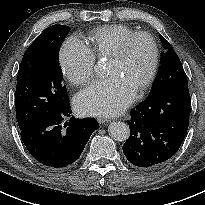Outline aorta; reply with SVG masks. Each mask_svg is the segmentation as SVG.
I'll use <instances>...</instances> for the list:
<instances>
[{"label":"aorta","instance_id":"1","mask_svg":"<svg viewBox=\"0 0 205 205\" xmlns=\"http://www.w3.org/2000/svg\"><path fill=\"white\" fill-rule=\"evenodd\" d=\"M108 132L111 138L122 142L128 139L130 135L129 126L123 122H112L108 127Z\"/></svg>","mask_w":205,"mask_h":205}]
</instances>
